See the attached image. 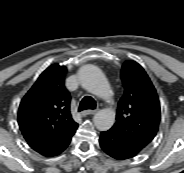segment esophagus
<instances>
[{
	"label": "esophagus",
	"mask_w": 184,
	"mask_h": 173,
	"mask_svg": "<svg viewBox=\"0 0 184 173\" xmlns=\"http://www.w3.org/2000/svg\"><path fill=\"white\" fill-rule=\"evenodd\" d=\"M97 111H98L97 109H95V110H84V111L81 112V115L83 117H85L87 115H93V114L97 113Z\"/></svg>",
	"instance_id": "1"
}]
</instances>
